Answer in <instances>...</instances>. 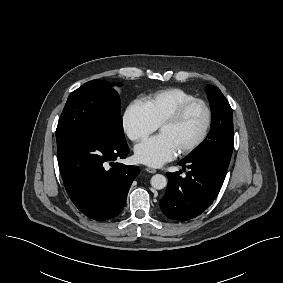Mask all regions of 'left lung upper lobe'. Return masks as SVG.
I'll list each match as a JSON object with an SVG mask.
<instances>
[{"mask_svg": "<svg viewBox=\"0 0 283 283\" xmlns=\"http://www.w3.org/2000/svg\"><path fill=\"white\" fill-rule=\"evenodd\" d=\"M206 93L212 111L211 130L184 159L208 157L229 165L234 138L232 109L218 87L208 85Z\"/></svg>", "mask_w": 283, "mask_h": 283, "instance_id": "5c2ea615", "label": "left lung upper lobe"}]
</instances>
